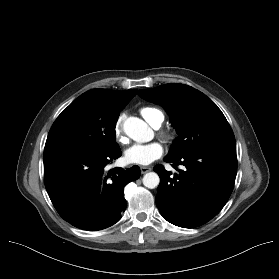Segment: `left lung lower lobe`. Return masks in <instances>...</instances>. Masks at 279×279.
I'll list each match as a JSON object with an SVG mask.
<instances>
[{
	"label": "left lung lower lobe",
	"instance_id": "1",
	"mask_svg": "<svg viewBox=\"0 0 279 279\" xmlns=\"http://www.w3.org/2000/svg\"><path fill=\"white\" fill-rule=\"evenodd\" d=\"M166 162L183 165L172 175L162 165L154 171L160 177L156 204L170 223L194 228L211 220L228 201L237 172L236 145H210L180 156L167 155Z\"/></svg>",
	"mask_w": 279,
	"mask_h": 279
}]
</instances>
